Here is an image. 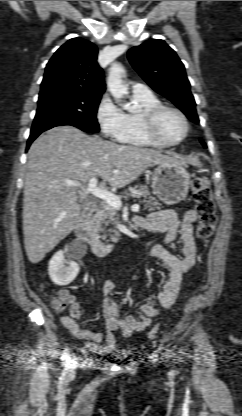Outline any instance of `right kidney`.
I'll list each match as a JSON object with an SVG mask.
<instances>
[{
    "instance_id": "ca27d5eb",
    "label": "right kidney",
    "mask_w": 242,
    "mask_h": 416,
    "mask_svg": "<svg viewBox=\"0 0 242 416\" xmlns=\"http://www.w3.org/2000/svg\"><path fill=\"white\" fill-rule=\"evenodd\" d=\"M79 264L65 255L62 250L56 252L49 262V276L51 280L60 286L70 284L78 275Z\"/></svg>"
}]
</instances>
